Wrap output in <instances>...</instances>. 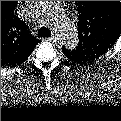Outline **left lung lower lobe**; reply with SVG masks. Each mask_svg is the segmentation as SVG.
<instances>
[{"instance_id":"0a47b994","label":"left lung lower lobe","mask_w":121,"mask_h":121,"mask_svg":"<svg viewBox=\"0 0 121 121\" xmlns=\"http://www.w3.org/2000/svg\"><path fill=\"white\" fill-rule=\"evenodd\" d=\"M63 51L66 55H68V51L66 49L65 50L63 49Z\"/></svg>"}]
</instances>
